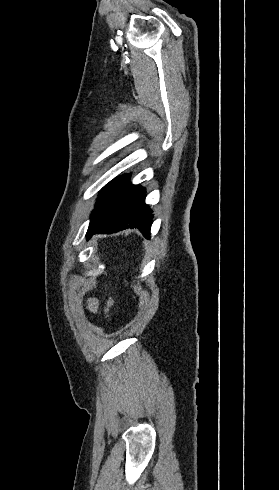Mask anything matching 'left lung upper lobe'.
<instances>
[{
	"label": "left lung upper lobe",
	"mask_w": 279,
	"mask_h": 490,
	"mask_svg": "<svg viewBox=\"0 0 279 490\" xmlns=\"http://www.w3.org/2000/svg\"><path fill=\"white\" fill-rule=\"evenodd\" d=\"M128 178L129 175L117 177L102 189L95 210L92 212L90 226L102 220L114 209L117 196Z\"/></svg>",
	"instance_id": "obj_1"
}]
</instances>
